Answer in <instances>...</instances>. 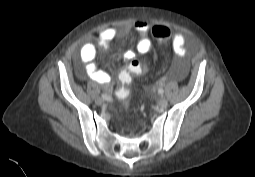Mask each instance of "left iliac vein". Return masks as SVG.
Listing matches in <instances>:
<instances>
[{
  "instance_id": "left-iliac-vein-1",
  "label": "left iliac vein",
  "mask_w": 255,
  "mask_h": 177,
  "mask_svg": "<svg viewBox=\"0 0 255 177\" xmlns=\"http://www.w3.org/2000/svg\"><path fill=\"white\" fill-rule=\"evenodd\" d=\"M168 105V101L165 97H161L158 101V106L160 108H165Z\"/></svg>"
}]
</instances>
